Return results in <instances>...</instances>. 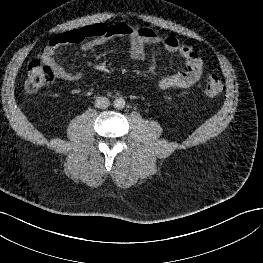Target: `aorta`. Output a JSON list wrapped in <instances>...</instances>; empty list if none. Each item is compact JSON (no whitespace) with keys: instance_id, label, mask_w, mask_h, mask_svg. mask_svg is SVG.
I'll list each match as a JSON object with an SVG mask.
<instances>
[{"instance_id":"762f6f07","label":"aorta","mask_w":263,"mask_h":263,"mask_svg":"<svg viewBox=\"0 0 263 263\" xmlns=\"http://www.w3.org/2000/svg\"><path fill=\"white\" fill-rule=\"evenodd\" d=\"M113 103H114V107L118 108V109L124 108V106H125V100L122 97L116 98L113 101Z\"/></svg>"}]
</instances>
